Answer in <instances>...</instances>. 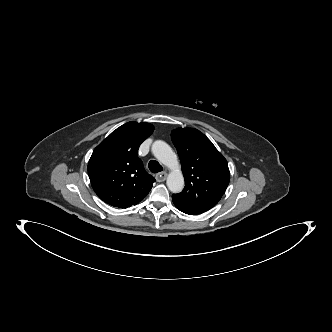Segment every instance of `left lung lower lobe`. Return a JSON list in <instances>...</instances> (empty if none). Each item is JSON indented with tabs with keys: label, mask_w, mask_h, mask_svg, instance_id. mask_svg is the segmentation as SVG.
I'll use <instances>...</instances> for the list:
<instances>
[{
	"label": "left lung lower lobe",
	"mask_w": 332,
	"mask_h": 332,
	"mask_svg": "<svg viewBox=\"0 0 332 332\" xmlns=\"http://www.w3.org/2000/svg\"><path fill=\"white\" fill-rule=\"evenodd\" d=\"M173 200V203L174 205L176 206V208L180 211H182L183 213H186V214H189V215H197V214H201L202 212L201 211H198V210H195V209H192L184 204H182L181 202H178L174 199Z\"/></svg>",
	"instance_id": "0a47b994"
}]
</instances>
